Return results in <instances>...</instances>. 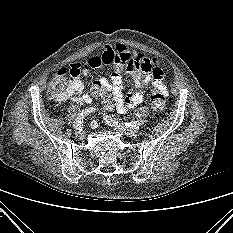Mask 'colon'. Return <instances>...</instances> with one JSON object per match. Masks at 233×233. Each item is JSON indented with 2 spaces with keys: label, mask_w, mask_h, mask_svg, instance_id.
Instances as JSON below:
<instances>
[{
  "label": "colon",
  "mask_w": 233,
  "mask_h": 233,
  "mask_svg": "<svg viewBox=\"0 0 233 233\" xmlns=\"http://www.w3.org/2000/svg\"><path fill=\"white\" fill-rule=\"evenodd\" d=\"M69 81L65 77V72L58 73L51 81L48 89L50 99L54 101L64 100L68 95ZM91 95L101 101L104 110H111L114 102L110 92L98 81L92 83L90 87ZM150 105L154 111H163L166 107V97L161 91L155 90L150 96Z\"/></svg>",
  "instance_id": "5ec220e1"
}]
</instances>
